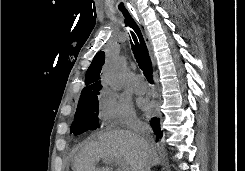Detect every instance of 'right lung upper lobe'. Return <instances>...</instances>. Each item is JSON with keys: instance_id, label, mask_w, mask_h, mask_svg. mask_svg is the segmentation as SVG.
Listing matches in <instances>:
<instances>
[{"instance_id": "right-lung-upper-lobe-1", "label": "right lung upper lobe", "mask_w": 245, "mask_h": 171, "mask_svg": "<svg viewBox=\"0 0 245 171\" xmlns=\"http://www.w3.org/2000/svg\"><path fill=\"white\" fill-rule=\"evenodd\" d=\"M104 52H99L93 58V61L88 68L85 76L86 87L82 90L80 99L88 98L97 95L101 90L100 73L104 64Z\"/></svg>"}]
</instances>
